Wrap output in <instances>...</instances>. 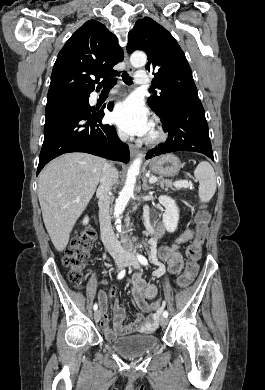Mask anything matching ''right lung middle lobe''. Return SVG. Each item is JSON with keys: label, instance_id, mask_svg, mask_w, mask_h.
<instances>
[{"label": "right lung middle lobe", "instance_id": "dd1d6c3e", "mask_svg": "<svg viewBox=\"0 0 265 390\" xmlns=\"http://www.w3.org/2000/svg\"><path fill=\"white\" fill-rule=\"evenodd\" d=\"M88 99H89V94H80V95H72V96H67V97L47 101V104L63 103V102L87 103Z\"/></svg>", "mask_w": 265, "mask_h": 390}]
</instances>
